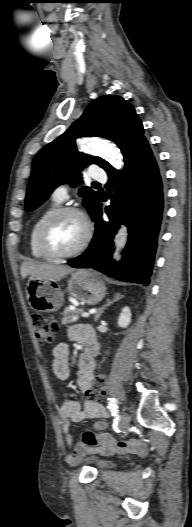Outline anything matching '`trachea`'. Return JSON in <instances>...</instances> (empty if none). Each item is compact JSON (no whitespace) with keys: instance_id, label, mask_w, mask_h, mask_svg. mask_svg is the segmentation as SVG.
I'll return each mask as SVG.
<instances>
[{"instance_id":"trachea-1","label":"trachea","mask_w":192,"mask_h":527,"mask_svg":"<svg viewBox=\"0 0 192 527\" xmlns=\"http://www.w3.org/2000/svg\"><path fill=\"white\" fill-rule=\"evenodd\" d=\"M94 185H100V184H99V183H97V182H94Z\"/></svg>"}]
</instances>
